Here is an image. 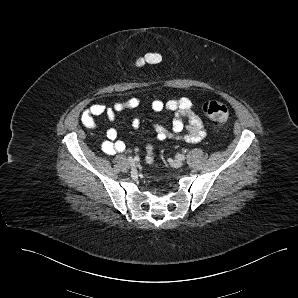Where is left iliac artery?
I'll list each match as a JSON object with an SVG mask.
<instances>
[{"label":"left iliac artery","mask_w":298,"mask_h":298,"mask_svg":"<svg viewBox=\"0 0 298 298\" xmlns=\"http://www.w3.org/2000/svg\"><path fill=\"white\" fill-rule=\"evenodd\" d=\"M176 158H177L178 160H185V156H184L183 154H177V155H176Z\"/></svg>","instance_id":"44dca946"}]
</instances>
